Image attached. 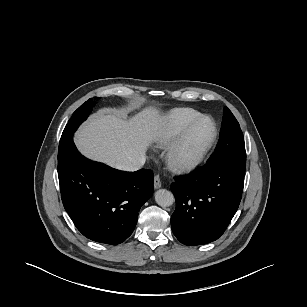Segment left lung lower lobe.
Returning <instances> with one entry per match:
<instances>
[{"instance_id": "left-lung-lower-lobe-1", "label": "left lung lower lobe", "mask_w": 307, "mask_h": 307, "mask_svg": "<svg viewBox=\"0 0 307 307\" xmlns=\"http://www.w3.org/2000/svg\"><path fill=\"white\" fill-rule=\"evenodd\" d=\"M244 177V169L218 162L175 178L171 190L176 209L171 227L177 239L191 246L218 239L238 209Z\"/></svg>"}]
</instances>
